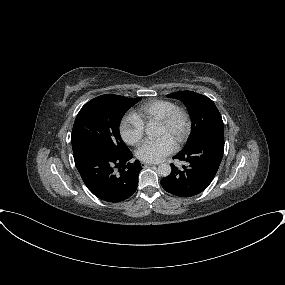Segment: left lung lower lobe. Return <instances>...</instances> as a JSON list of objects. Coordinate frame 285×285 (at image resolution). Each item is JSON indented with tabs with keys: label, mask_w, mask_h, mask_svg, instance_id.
I'll return each mask as SVG.
<instances>
[{
	"label": "left lung lower lobe",
	"mask_w": 285,
	"mask_h": 285,
	"mask_svg": "<svg viewBox=\"0 0 285 285\" xmlns=\"http://www.w3.org/2000/svg\"><path fill=\"white\" fill-rule=\"evenodd\" d=\"M224 152V131L217 130L174 158L188 162L179 170L171 164L172 172L161 180L162 187L179 197H192L204 191L212 182Z\"/></svg>",
	"instance_id": "left-lung-lower-lobe-1"
}]
</instances>
